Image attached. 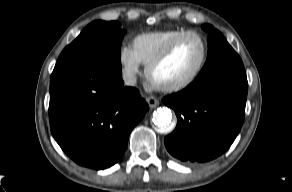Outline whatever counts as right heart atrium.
<instances>
[{"mask_svg":"<svg viewBox=\"0 0 292 192\" xmlns=\"http://www.w3.org/2000/svg\"><path fill=\"white\" fill-rule=\"evenodd\" d=\"M118 59L121 65L122 75L126 82L133 84L141 71V62L133 47L123 45L118 52Z\"/></svg>","mask_w":292,"mask_h":192,"instance_id":"obj_1","label":"right heart atrium"}]
</instances>
